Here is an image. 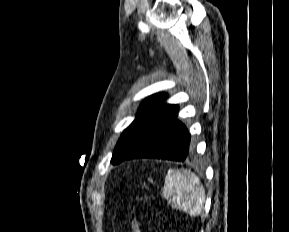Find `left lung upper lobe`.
I'll return each instance as SVG.
<instances>
[{
  "label": "left lung upper lobe",
  "mask_w": 289,
  "mask_h": 232,
  "mask_svg": "<svg viewBox=\"0 0 289 232\" xmlns=\"http://www.w3.org/2000/svg\"><path fill=\"white\" fill-rule=\"evenodd\" d=\"M166 94L150 96L143 101L141 113L122 133L111 159L112 164L124 161L136 152L158 130L177 117L178 106L164 103Z\"/></svg>",
  "instance_id": "5c2ea615"
}]
</instances>
